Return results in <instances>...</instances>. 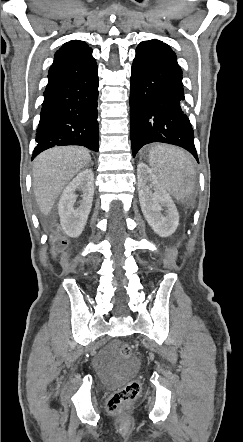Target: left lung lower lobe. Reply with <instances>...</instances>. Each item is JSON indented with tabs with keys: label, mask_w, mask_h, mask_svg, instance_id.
Instances as JSON below:
<instances>
[{
	"label": "left lung lower lobe",
	"mask_w": 243,
	"mask_h": 442,
	"mask_svg": "<svg viewBox=\"0 0 243 442\" xmlns=\"http://www.w3.org/2000/svg\"><path fill=\"white\" fill-rule=\"evenodd\" d=\"M130 81L133 157L142 146L163 142L183 147L199 161L183 106L182 71L171 48L156 39L140 43Z\"/></svg>",
	"instance_id": "obj_1"
}]
</instances>
